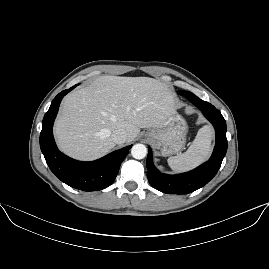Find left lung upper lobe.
<instances>
[{"label":"left lung upper lobe","mask_w":269,"mask_h":269,"mask_svg":"<svg viewBox=\"0 0 269 269\" xmlns=\"http://www.w3.org/2000/svg\"><path fill=\"white\" fill-rule=\"evenodd\" d=\"M178 93L182 96H185L192 103H194L197 99H199L197 96H195L194 94L190 92L179 91Z\"/></svg>","instance_id":"obj_1"}]
</instances>
